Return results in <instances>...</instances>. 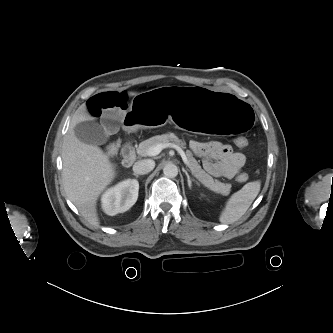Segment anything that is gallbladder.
<instances>
[{"label":"gallbladder","instance_id":"bac80fb5","mask_svg":"<svg viewBox=\"0 0 333 333\" xmlns=\"http://www.w3.org/2000/svg\"><path fill=\"white\" fill-rule=\"evenodd\" d=\"M76 137L83 143L90 145H101L107 141L104 129L93 121L78 123L75 128Z\"/></svg>","mask_w":333,"mask_h":333}]
</instances>
